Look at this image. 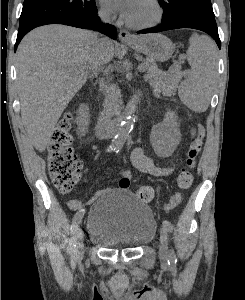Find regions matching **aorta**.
I'll use <instances>...</instances> for the list:
<instances>
[{
  "mask_svg": "<svg viewBox=\"0 0 245 300\" xmlns=\"http://www.w3.org/2000/svg\"><path fill=\"white\" fill-rule=\"evenodd\" d=\"M134 120L131 116L126 117V119L122 122L116 136L112 141V147L116 149H121L129 136V133L133 129Z\"/></svg>",
  "mask_w": 245,
  "mask_h": 300,
  "instance_id": "aorta-1",
  "label": "aorta"
}]
</instances>
